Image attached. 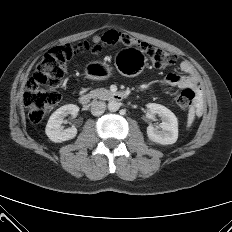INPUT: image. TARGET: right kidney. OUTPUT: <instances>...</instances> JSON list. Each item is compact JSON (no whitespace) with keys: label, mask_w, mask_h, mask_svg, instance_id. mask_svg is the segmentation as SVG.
Segmentation results:
<instances>
[{"label":"right kidney","mask_w":232,"mask_h":232,"mask_svg":"<svg viewBox=\"0 0 232 232\" xmlns=\"http://www.w3.org/2000/svg\"><path fill=\"white\" fill-rule=\"evenodd\" d=\"M78 111L79 107L74 104H67L57 109L50 116L46 125L45 132L48 138L55 143H61L63 141L73 139L77 135V129L75 126L64 129L62 124L66 116L71 114L75 117L77 116Z\"/></svg>","instance_id":"obj_1"}]
</instances>
